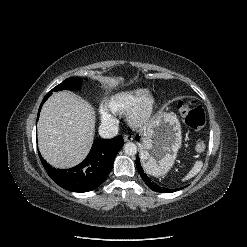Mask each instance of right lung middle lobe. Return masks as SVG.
Returning a JSON list of instances; mask_svg holds the SVG:
<instances>
[{
  "label": "right lung middle lobe",
  "instance_id": "obj_1",
  "mask_svg": "<svg viewBox=\"0 0 247 247\" xmlns=\"http://www.w3.org/2000/svg\"><path fill=\"white\" fill-rule=\"evenodd\" d=\"M82 79L81 78H67L65 81L54 87L53 91H60V90H77L80 88L82 84ZM51 94V92H49Z\"/></svg>",
  "mask_w": 247,
  "mask_h": 247
}]
</instances>
